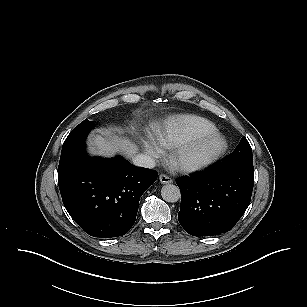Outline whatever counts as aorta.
I'll list each match as a JSON object with an SVG mask.
<instances>
[{"instance_id":"762f6f07","label":"aorta","mask_w":307,"mask_h":307,"mask_svg":"<svg viewBox=\"0 0 307 307\" xmlns=\"http://www.w3.org/2000/svg\"><path fill=\"white\" fill-rule=\"evenodd\" d=\"M161 196L166 202H177L180 199V189L176 185L166 184L161 189Z\"/></svg>"}]
</instances>
